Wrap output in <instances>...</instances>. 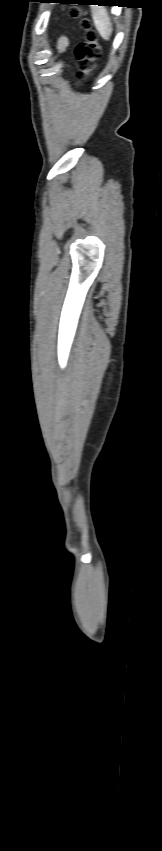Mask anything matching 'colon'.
Here are the masks:
<instances>
[{
  "label": "colon",
  "mask_w": 162,
  "mask_h": 851,
  "mask_svg": "<svg viewBox=\"0 0 162 851\" xmlns=\"http://www.w3.org/2000/svg\"><path fill=\"white\" fill-rule=\"evenodd\" d=\"M70 16L75 19H80V24L85 32L84 41L79 43L75 49V55L81 65L79 80H84L90 75L96 66V61L100 57L101 49L97 33L92 27L91 21L84 17L81 9L73 7L70 10Z\"/></svg>",
  "instance_id": "5ec220e1"
}]
</instances>
